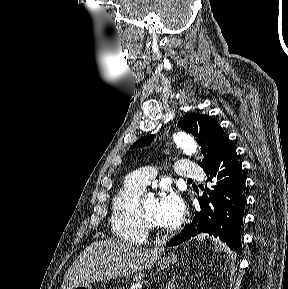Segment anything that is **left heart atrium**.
Wrapping results in <instances>:
<instances>
[{
	"instance_id": "39dd6f15",
	"label": "left heart atrium",
	"mask_w": 288,
	"mask_h": 289,
	"mask_svg": "<svg viewBox=\"0 0 288 289\" xmlns=\"http://www.w3.org/2000/svg\"><path fill=\"white\" fill-rule=\"evenodd\" d=\"M184 214V204L181 198L172 190L165 189L157 199V221L162 226L178 225Z\"/></svg>"
}]
</instances>
